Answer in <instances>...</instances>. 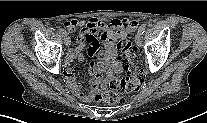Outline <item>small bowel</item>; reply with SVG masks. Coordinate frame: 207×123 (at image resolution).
<instances>
[{
    "mask_svg": "<svg viewBox=\"0 0 207 123\" xmlns=\"http://www.w3.org/2000/svg\"><path fill=\"white\" fill-rule=\"evenodd\" d=\"M137 25L138 23L134 20L117 18L108 22L91 18L86 23L79 20H68L63 23V27L68 31L83 26V30L77 37L75 47L67 53L65 58L66 83L76 97L85 102H90L107 70L110 68L118 70L120 68L117 62L115 43L125 34L132 33ZM86 42L89 43V54L97 56V60L91 64L89 70L90 91L88 92L82 90L72 68L76 59L83 60L82 51Z\"/></svg>",
    "mask_w": 207,
    "mask_h": 123,
    "instance_id": "1",
    "label": "small bowel"
}]
</instances>
